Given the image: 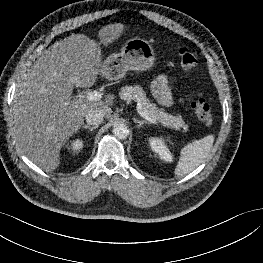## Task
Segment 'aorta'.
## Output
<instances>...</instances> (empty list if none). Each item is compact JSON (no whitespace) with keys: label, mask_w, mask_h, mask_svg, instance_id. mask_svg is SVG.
Masks as SVG:
<instances>
[{"label":"aorta","mask_w":263,"mask_h":263,"mask_svg":"<svg viewBox=\"0 0 263 263\" xmlns=\"http://www.w3.org/2000/svg\"><path fill=\"white\" fill-rule=\"evenodd\" d=\"M113 134L119 139H125L129 135L128 126L124 123H116L113 128Z\"/></svg>","instance_id":"1"}]
</instances>
